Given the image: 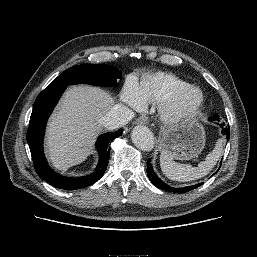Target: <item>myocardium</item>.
I'll return each mask as SVG.
<instances>
[{
    "mask_svg": "<svg viewBox=\"0 0 257 257\" xmlns=\"http://www.w3.org/2000/svg\"><path fill=\"white\" fill-rule=\"evenodd\" d=\"M188 93H196V103L188 109L179 107L180 99ZM205 102L203 91L195 85H187L173 91L164 101L160 108L162 118L168 123H178L196 116Z\"/></svg>",
    "mask_w": 257,
    "mask_h": 257,
    "instance_id": "myocardium-1",
    "label": "myocardium"
}]
</instances>
